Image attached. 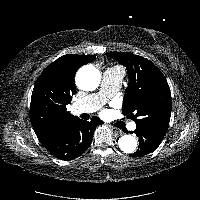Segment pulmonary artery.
Returning a JSON list of instances; mask_svg holds the SVG:
<instances>
[{
	"instance_id": "e3ab8cb5",
	"label": "pulmonary artery",
	"mask_w": 200,
	"mask_h": 200,
	"mask_svg": "<svg viewBox=\"0 0 200 200\" xmlns=\"http://www.w3.org/2000/svg\"><path fill=\"white\" fill-rule=\"evenodd\" d=\"M123 70L119 68H108L103 72L100 90L77 101L73 105L76 114L92 113L99 110L108 99L112 98L120 89L123 78ZM136 128L131 123L130 129Z\"/></svg>"
}]
</instances>
